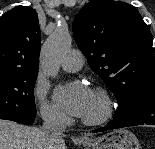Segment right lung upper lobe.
<instances>
[{
  "mask_svg": "<svg viewBox=\"0 0 155 149\" xmlns=\"http://www.w3.org/2000/svg\"><path fill=\"white\" fill-rule=\"evenodd\" d=\"M41 35L36 11L16 6L0 17V71H37Z\"/></svg>",
  "mask_w": 155,
  "mask_h": 149,
  "instance_id": "right-lung-upper-lobe-1",
  "label": "right lung upper lobe"
}]
</instances>
